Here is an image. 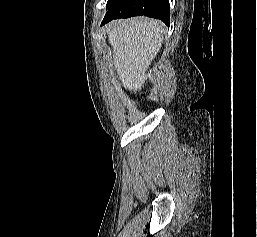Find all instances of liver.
<instances>
[{
  "label": "liver",
  "instance_id": "obj_1",
  "mask_svg": "<svg viewBox=\"0 0 257 237\" xmlns=\"http://www.w3.org/2000/svg\"><path fill=\"white\" fill-rule=\"evenodd\" d=\"M108 27L119 79L136 93L144 86L145 72L161 48L164 26L154 19L135 17L111 22Z\"/></svg>",
  "mask_w": 257,
  "mask_h": 237
}]
</instances>
